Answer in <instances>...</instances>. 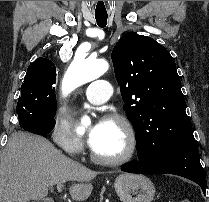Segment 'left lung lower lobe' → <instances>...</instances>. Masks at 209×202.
<instances>
[{"mask_svg": "<svg viewBox=\"0 0 209 202\" xmlns=\"http://www.w3.org/2000/svg\"><path fill=\"white\" fill-rule=\"evenodd\" d=\"M137 151L139 160L124 165L121 168L122 171L179 175L197 183L205 194L206 177L199 160V150L194 136L183 139L159 157H152L149 153L141 150Z\"/></svg>", "mask_w": 209, "mask_h": 202, "instance_id": "obj_1", "label": "left lung lower lobe"}]
</instances>
